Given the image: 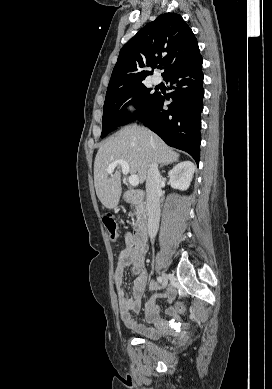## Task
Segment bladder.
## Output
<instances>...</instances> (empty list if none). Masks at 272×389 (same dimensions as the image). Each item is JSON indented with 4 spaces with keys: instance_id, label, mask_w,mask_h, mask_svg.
<instances>
[{
    "instance_id": "31cf9c89",
    "label": "bladder",
    "mask_w": 272,
    "mask_h": 389,
    "mask_svg": "<svg viewBox=\"0 0 272 389\" xmlns=\"http://www.w3.org/2000/svg\"><path fill=\"white\" fill-rule=\"evenodd\" d=\"M165 336L164 332L155 331L153 335L148 336L149 339L159 340Z\"/></svg>"
}]
</instances>
